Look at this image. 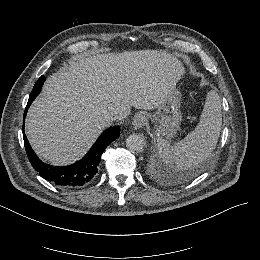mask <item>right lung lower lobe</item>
<instances>
[{"label": "right lung lower lobe", "mask_w": 260, "mask_h": 260, "mask_svg": "<svg viewBox=\"0 0 260 260\" xmlns=\"http://www.w3.org/2000/svg\"><path fill=\"white\" fill-rule=\"evenodd\" d=\"M45 80L46 78L44 76H41L36 82L25 109L23 123L30 104L40 93ZM119 134V126H114L107 129L101 134V136L98 138V140L95 142V144L86 154V156L83 157V159L72 165L64 167H54L43 163L37 157L35 152L32 150L27 137L25 136L23 125L24 145L27 156L33 168L37 172H39V175L44 179L50 181L57 186L69 189L83 186L89 183L96 176L103 151L112 141L119 137Z\"/></svg>", "instance_id": "98d812e1"}]
</instances>
